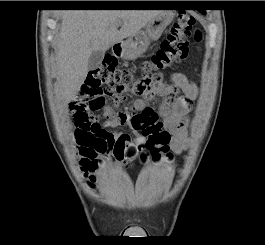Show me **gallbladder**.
<instances>
[{"instance_id": "bac80fb5", "label": "gallbladder", "mask_w": 265, "mask_h": 245, "mask_svg": "<svg viewBox=\"0 0 265 245\" xmlns=\"http://www.w3.org/2000/svg\"><path fill=\"white\" fill-rule=\"evenodd\" d=\"M103 57L104 52L100 50L93 51L88 60V69L91 71L97 69L101 64Z\"/></svg>"}]
</instances>
